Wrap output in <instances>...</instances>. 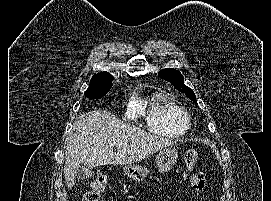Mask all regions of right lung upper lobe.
Segmentation results:
<instances>
[{
  "mask_svg": "<svg viewBox=\"0 0 271 201\" xmlns=\"http://www.w3.org/2000/svg\"><path fill=\"white\" fill-rule=\"evenodd\" d=\"M100 77H112V76L107 72H100L98 74H95L92 78H100Z\"/></svg>",
  "mask_w": 271,
  "mask_h": 201,
  "instance_id": "right-lung-upper-lobe-1",
  "label": "right lung upper lobe"
}]
</instances>
